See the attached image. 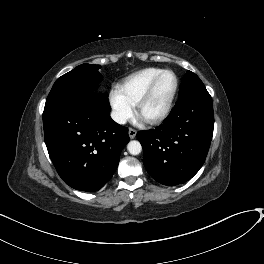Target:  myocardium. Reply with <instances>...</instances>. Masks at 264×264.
<instances>
[{
    "instance_id": "myocardium-1",
    "label": "myocardium",
    "mask_w": 264,
    "mask_h": 264,
    "mask_svg": "<svg viewBox=\"0 0 264 264\" xmlns=\"http://www.w3.org/2000/svg\"><path fill=\"white\" fill-rule=\"evenodd\" d=\"M165 74H171L174 78V87L173 90L168 98V101L164 107V109L158 113L156 116L151 117V118H146L144 119V121L148 124H157L160 123L161 121H163L170 113L175 97L177 95L178 92V86H179V82H178V78L176 76V74L173 71L170 70H163L161 71L148 85V87L145 89V91L142 93V95L139 97V99L137 100V102L135 103L136 106V113L139 114L140 109L142 108V106L148 101V99L152 96L154 89L157 85V83L159 82V80L161 79V77Z\"/></svg>"
}]
</instances>
